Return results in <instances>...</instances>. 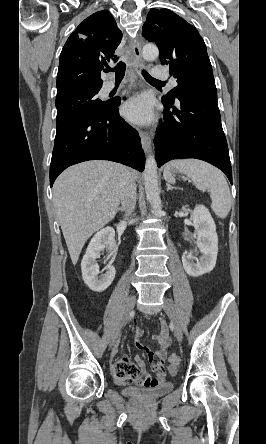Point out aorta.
Instances as JSON below:
<instances>
[{
    "mask_svg": "<svg viewBox=\"0 0 266 444\" xmlns=\"http://www.w3.org/2000/svg\"><path fill=\"white\" fill-rule=\"evenodd\" d=\"M142 56L146 61H154L159 56V50L154 44H146L142 49ZM143 176L147 200L150 202L153 212L160 215L162 204L158 190L157 164L154 155L147 157Z\"/></svg>",
    "mask_w": 266,
    "mask_h": 444,
    "instance_id": "1",
    "label": "aorta"
}]
</instances>
